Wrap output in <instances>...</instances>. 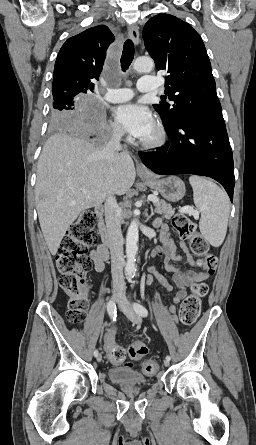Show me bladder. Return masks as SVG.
Here are the masks:
<instances>
[{"label": "bladder", "mask_w": 256, "mask_h": 445, "mask_svg": "<svg viewBox=\"0 0 256 445\" xmlns=\"http://www.w3.org/2000/svg\"><path fill=\"white\" fill-rule=\"evenodd\" d=\"M108 378L112 383L133 386V385H144L150 384V380L146 378L141 372L127 367L111 368L107 372Z\"/></svg>", "instance_id": "31cf9c89"}]
</instances>
